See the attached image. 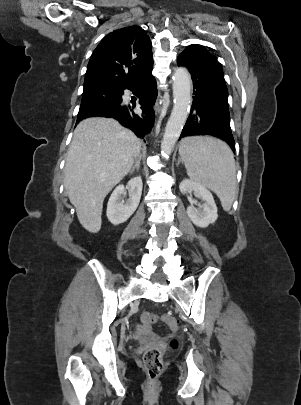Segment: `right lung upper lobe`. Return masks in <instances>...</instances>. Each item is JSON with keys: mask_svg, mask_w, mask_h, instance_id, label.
<instances>
[{"mask_svg": "<svg viewBox=\"0 0 301 405\" xmlns=\"http://www.w3.org/2000/svg\"><path fill=\"white\" fill-rule=\"evenodd\" d=\"M151 67L152 44L145 30L140 26L114 30L94 50L87 66L84 90L123 91Z\"/></svg>", "mask_w": 301, "mask_h": 405, "instance_id": "obj_1", "label": "right lung upper lobe"}]
</instances>
